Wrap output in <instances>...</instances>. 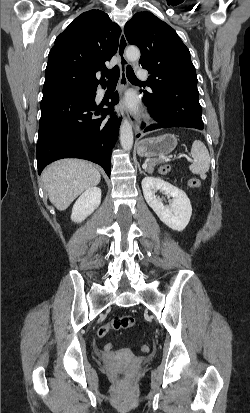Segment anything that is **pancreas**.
<instances>
[{"label": "pancreas", "instance_id": "cf45deb5", "mask_svg": "<svg viewBox=\"0 0 250 413\" xmlns=\"http://www.w3.org/2000/svg\"><path fill=\"white\" fill-rule=\"evenodd\" d=\"M159 162H160V159H153V160L149 161L147 171L149 173H152L153 170H154V166ZM163 169H166V170L163 172L162 171ZM168 171H169V169H167L166 167H161L159 172L161 174H166Z\"/></svg>", "mask_w": 250, "mask_h": 413}]
</instances>
